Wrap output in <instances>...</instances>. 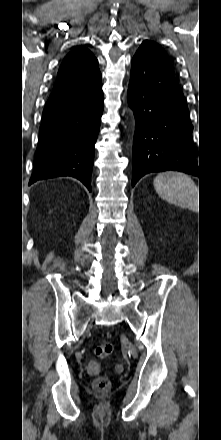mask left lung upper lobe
<instances>
[{
    "instance_id": "1",
    "label": "left lung upper lobe",
    "mask_w": 221,
    "mask_h": 440,
    "mask_svg": "<svg viewBox=\"0 0 221 440\" xmlns=\"http://www.w3.org/2000/svg\"><path fill=\"white\" fill-rule=\"evenodd\" d=\"M138 51L144 52L149 58H151L159 66L174 73L173 67L166 52L158 44L146 40L139 47Z\"/></svg>"
}]
</instances>
